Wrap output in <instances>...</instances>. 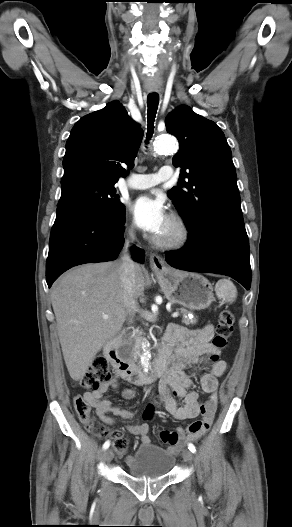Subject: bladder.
Masks as SVG:
<instances>
[{"label": "bladder", "instance_id": "bladder-1", "mask_svg": "<svg viewBox=\"0 0 292 527\" xmlns=\"http://www.w3.org/2000/svg\"><path fill=\"white\" fill-rule=\"evenodd\" d=\"M175 463L174 455L160 446L144 444L125 460L126 472L136 478L167 475Z\"/></svg>", "mask_w": 292, "mask_h": 527}]
</instances>
